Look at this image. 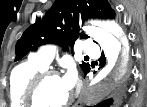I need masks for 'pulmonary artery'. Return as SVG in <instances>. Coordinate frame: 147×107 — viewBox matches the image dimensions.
<instances>
[{
  "label": "pulmonary artery",
  "mask_w": 147,
  "mask_h": 107,
  "mask_svg": "<svg viewBox=\"0 0 147 107\" xmlns=\"http://www.w3.org/2000/svg\"><path fill=\"white\" fill-rule=\"evenodd\" d=\"M82 51L84 54L91 57H97L99 55V47L96 44L90 42H84L82 45ZM55 48L53 46H47L43 48L39 53L33 55V60L39 64L47 67L53 59Z\"/></svg>",
  "instance_id": "1"
}]
</instances>
